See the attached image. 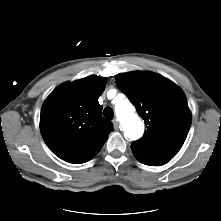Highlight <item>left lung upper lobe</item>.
I'll return each instance as SVG.
<instances>
[{
	"mask_svg": "<svg viewBox=\"0 0 221 221\" xmlns=\"http://www.w3.org/2000/svg\"><path fill=\"white\" fill-rule=\"evenodd\" d=\"M115 79L147 126L132 151L156 166L167 163L182 147L192 121L183 91L156 73L129 72Z\"/></svg>",
	"mask_w": 221,
	"mask_h": 221,
	"instance_id": "obj_1",
	"label": "left lung upper lobe"
}]
</instances>
